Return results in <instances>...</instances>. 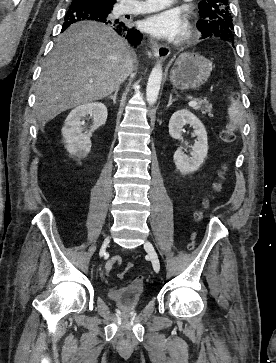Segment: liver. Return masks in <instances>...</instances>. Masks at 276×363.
Listing matches in <instances>:
<instances>
[{
    "instance_id": "6515ba94",
    "label": "liver",
    "mask_w": 276,
    "mask_h": 363,
    "mask_svg": "<svg viewBox=\"0 0 276 363\" xmlns=\"http://www.w3.org/2000/svg\"><path fill=\"white\" fill-rule=\"evenodd\" d=\"M132 71L133 52L111 27L93 21L71 25L57 38L36 85L39 125L109 96Z\"/></svg>"
}]
</instances>
